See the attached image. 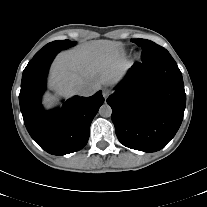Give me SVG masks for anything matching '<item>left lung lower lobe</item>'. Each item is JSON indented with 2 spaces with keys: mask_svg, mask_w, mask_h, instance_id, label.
Returning a JSON list of instances; mask_svg holds the SVG:
<instances>
[{
  "mask_svg": "<svg viewBox=\"0 0 207 207\" xmlns=\"http://www.w3.org/2000/svg\"><path fill=\"white\" fill-rule=\"evenodd\" d=\"M119 141L144 152L162 149L178 131L186 105L173 58L135 63L107 99Z\"/></svg>",
  "mask_w": 207,
  "mask_h": 207,
  "instance_id": "0a47b994",
  "label": "left lung lower lobe"
}]
</instances>
